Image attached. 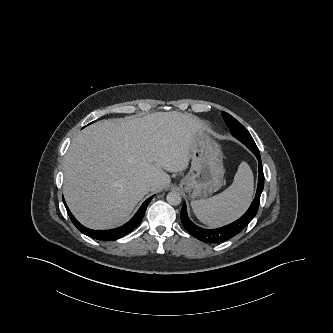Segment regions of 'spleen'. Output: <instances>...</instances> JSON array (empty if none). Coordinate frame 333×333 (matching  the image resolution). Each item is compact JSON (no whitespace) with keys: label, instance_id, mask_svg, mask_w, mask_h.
Returning a JSON list of instances; mask_svg holds the SVG:
<instances>
[{"label":"spleen","instance_id":"obj_1","mask_svg":"<svg viewBox=\"0 0 333 333\" xmlns=\"http://www.w3.org/2000/svg\"><path fill=\"white\" fill-rule=\"evenodd\" d=\"M253 174L242 162L233 183L223 192L208 199L191 201L196 217L212 227L228 224L240 217L250 205L253 195Z\"/></svg>","mask_w":333,"mask_h":333}]
</instances>
